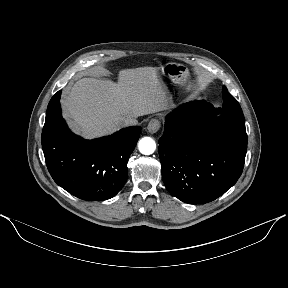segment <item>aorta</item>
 <instances>
[{"label":"aorta","instance_id":"obj_1","mask_svg":"<svg viewBox=\"0 0 288 288\" xmlns=\"http://www.w3.org/2000/svg\"><path fill=\"white\" fill-rule=\"evenodd\" d=\"M138 149L140 153L144 155H150L154 153L156 149V143L152 138L144 137L139 141Z\"/></svg>","mask_w":288,"mask_h":288}]
</instances>
